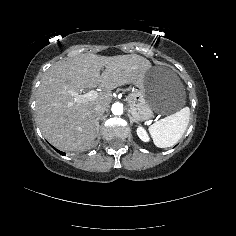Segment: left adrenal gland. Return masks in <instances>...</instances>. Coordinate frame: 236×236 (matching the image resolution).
Masks as SVG:
<instances>
[{"label":"left adrenal gland","mask_w":236,"mask_h":236,"mask_svg":"<svg viewBox=\"0 0 236 236\" xmlns=\"http://www.w3.org/2000/svg\"><path fill=\"white\" fill-rule=\"evenodd\" d=\"M127 115H128V116H129V118H130V124H132V123H133V121H134V118L131 116L130 112H129Z\"/></svg>","instance_id":"obj_1"}]
</instances>
